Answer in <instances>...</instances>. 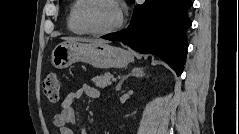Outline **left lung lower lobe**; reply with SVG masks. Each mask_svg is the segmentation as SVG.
I'll list each match as a JSON object with an SVG mask.
<instances>
[{
  "label": "left lung lower lobe",
  "instance_id": "0a47b994",
  "mask_svg": "<svg viewBox=\"0 0 239 134\" xmlns=\"http://www.w3.org/2000/svg\"><path fill=\"white\" fill-rule=\"evenodd\" d=\"M191 6L190 0H146L135 7L127 29L102 38L157 55L180 76L188 49L185 32L191 26L187 14Z\"/></svg>",
  "mask_w": 239,
  "mask_h": 134
}]
</instances>
